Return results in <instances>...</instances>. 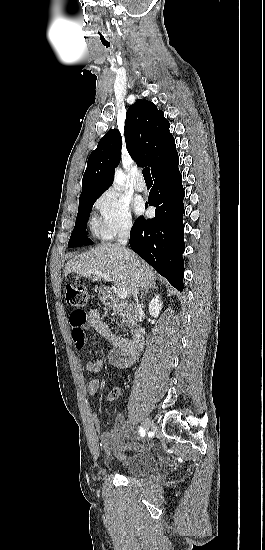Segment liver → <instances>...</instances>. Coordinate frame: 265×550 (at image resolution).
Listing matches in <instances>:
<instances>
[{
  "instance_id": "6515ba94",
  "label": "liver",
  "mask_w": 265,
  "mask_h": 550,
  "mask_svg": "<svg viewBox=\"0 0 265 550\" xmlns=\"http://www.w3.org/2000/svg\"><path fill=\"white\" fill-rule=\"evenodd\" d=\"M127 251L129 257L120 245L112 243L99 245L70 259L65 265L64 275L76 273L94 281H100L101 277L93 272H101L112 277L118 289H123L131 295L135 282L141 290L155 282V272L138 255Z\"/></svg>"
}]
</instances>
